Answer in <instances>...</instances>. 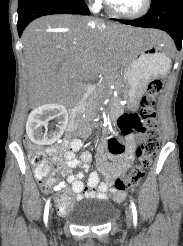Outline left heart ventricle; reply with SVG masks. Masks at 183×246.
Masks as SVG:
<instances>
[{
  "instance_id": "obj_1",
  "label": "left heart ventricle",
  "mask_w": 183,
  "mask_h": 246,
  "mask_svg": "<svg viewBox=\"0 0 183 246\" xmlns=\"http://www.w3.org/2000/svg\"><path fill=\"white\" fill-rule=\"evenodd\" d=\"M112 6L123 13H134L138 11L144 0H109Z\"/></svg>"
}]
</instances>
